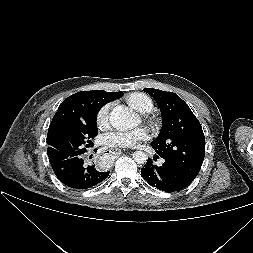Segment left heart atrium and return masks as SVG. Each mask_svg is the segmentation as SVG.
<instances>
[{"label": "left heart atrium", "mask_w": 253, "mask_h": 253, "mask_svg": "<svg viewBox=\"0 0 253 253\" xmlns=\"http://www.w3.org/2000/svg\"><path fill=\"white\" fill-rule=\"evenodd\" d=\"M149 138L150 132L146 128H137L133 130H115L109 132L103 136L102 142L106 147L131 148Z\"/></svg>", "instance_id": "1"}]
</instances>
